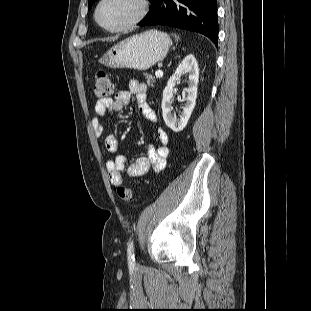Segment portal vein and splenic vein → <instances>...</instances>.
<instances>
[{"instance_id":"obj_1","label":"portal vein and splenic vein","mask_w":311,"mask_h":311,"mask_svg":"<svg viewBox=\"0 0 311 311\" xmlns=\"http://www.w3.org/2000/svg\"><path fill=\"white\" fill-rule=\"evenodd\" d=\"M155 76H156L157 78L163 77V72H162V70L156 71V72H155Z\"/></svg>"}]
</instances>
